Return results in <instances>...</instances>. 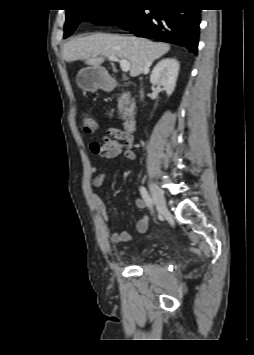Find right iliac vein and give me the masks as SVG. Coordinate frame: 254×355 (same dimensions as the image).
<instances>
[{"instance_id": "1", "label": "right iliac vein", "mask_w": 254, "mask_h": 355, "mask_svg": "<svg viewBox=\"0 0 254 355\" xmlns=\"http://www.w3.org/2000/svg\"><path fill=\"white\" fill-rule=\"evenodd\" d=\"M149 187H150L151 195H152V198L154 200L157 210L161 214L167 215L168 211H167V207H166V200H165L162 190L152 181L149 182Z\"/></svg>"}]
</instances>
